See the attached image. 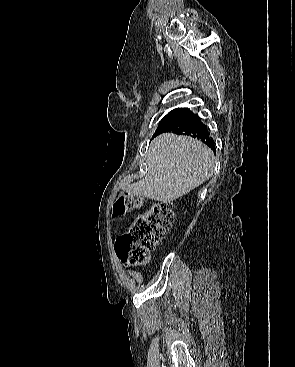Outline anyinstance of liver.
Instances as JSON below:
<instances>
[{
	"label": "liver",
	"instance_id": "liver-1",
	"mask_svg": "<svg viewBox=\"0 0 295 367\" xmlns=\"http://www.w3.org/2000/svg\"><path fill=\"white\" fill-rule=\"evenodd\" d=\"M146 163L145 178L127 190L136 196L170 203L213 175L215 157L196 139L165 133L151 142Z\"/></svg>",
	"mask_w": 295,
	"mask_h": 367
}]
</instances>
